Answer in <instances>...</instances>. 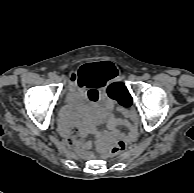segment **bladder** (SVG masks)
<instances>
[{
	"mask_svg": "<svg viewBox=\"0 0 194 193\" xmlns=\"http://www.w3.org/2000/svg\"><path fill=\"white\" fill-rule=\"evenodd\" d=\"M74 93H75V91H73V93H72L73 95H71L70 99L72 101H77L79 99V97L76 94H74Z\"/></svg>",
	"mask_w": 194,
	"mask_h": 193,
	"instance_id": "bladder-1",
	"label": "bladder"
}]
</instances>
